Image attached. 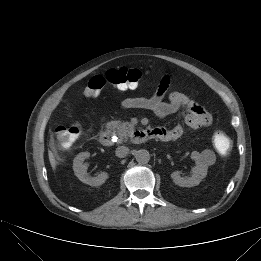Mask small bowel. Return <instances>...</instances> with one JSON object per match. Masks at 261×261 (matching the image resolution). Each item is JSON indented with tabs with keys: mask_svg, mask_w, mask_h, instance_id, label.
I'll use <instances>...</instances> for the list:
<instances>
[{
	"mask_svg": "<svg viewBox=\"0 0 261 261\" xmlns=\"http://www.w3.org/2000/svg\"><path fill=\"white\" fill-rule=\"evenodd\" d=\"M170 85V77L161 78L156 91L149 97H129L121 101L122 109H145L155 113L163 119L170 114L183 110L184 121L192 129L208 128L212 124V116L202 106L181 92H172L165 101L164 97ZM120 91L134 90L137 85H121L116 87ZM158 139L162 141H175L183 134V127L176 125L172 128H156Z\"/></svg>",
	"mask_w": 261,
	"mask_h": 261,
	"instance_id": "obj_1",
	"label": "small bowel"
}]
</instances>
